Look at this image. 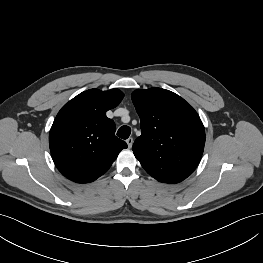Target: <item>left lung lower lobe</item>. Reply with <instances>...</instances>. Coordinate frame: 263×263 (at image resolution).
I'll use <instances>...</instances> for the list:
<instances>
[{
  "label": "left lung lower lobe",
  "instance_id": "0a47b994",
  "mask_svg": "<svg viewBox=\"0 0 263 263\" xmlns=\"http://www.w3.org/2000/svg\"><path fill=\"white\" fill-rule=\"evenodd\" d=\"M188 176H189L188 174L180 170H177L174 168H166L155 179H157L160 182H165V183H178V182L183 181Z\"/></svg>",
  "mask_w": 263,
  "mask_h": 263
}]
</instances>
